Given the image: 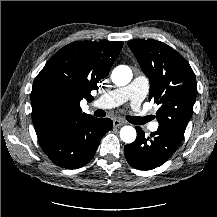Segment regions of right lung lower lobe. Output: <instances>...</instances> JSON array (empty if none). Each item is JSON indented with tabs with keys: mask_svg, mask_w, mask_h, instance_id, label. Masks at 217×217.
Here are the masks:
<instances>
[{
	"mask_svg": "<svg viewBox=\"0 0 217 217\" xmlns=\"http://www.w3.org/2000/svg\"><path fill=\"white\" fill-rule=\"evenodd\" d=\"M112 127L113 122L109 118L89 116L38 135V140L54 164L66 169H77L94 157L100 140Z\"/></svg>",
	"mask_w": 217,
	"mask_h": 217,
	"instance_id": "98d812e1",
	"label": "right lung lower lobe"
}]
</instances>
